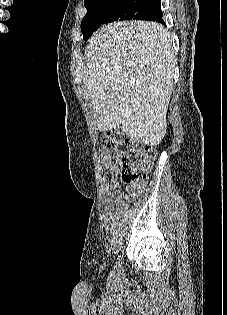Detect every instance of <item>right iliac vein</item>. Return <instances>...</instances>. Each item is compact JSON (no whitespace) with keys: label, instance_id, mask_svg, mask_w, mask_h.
Segmentation results:
<instances>
[{"label":"right iliac vein","instance_id":"1","mask_svg":"<svg viewBox=\"0 0 227 315\" xmlns=\"http://www.w3.org/2000/svg\"><path fill=\"white\" fill-rule=\"evenodd\" d=\"M112 245H113L114 248H117L118 242H117V241H114Z\"/></svg>","mask_w":227,"mask_h":315}]
</instances>
